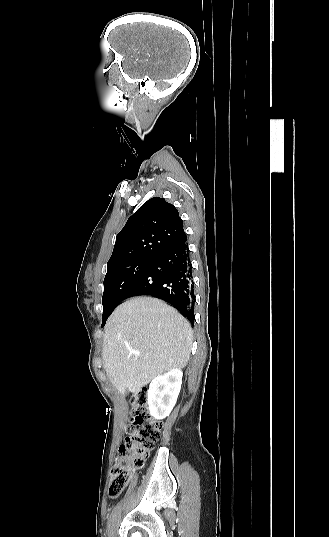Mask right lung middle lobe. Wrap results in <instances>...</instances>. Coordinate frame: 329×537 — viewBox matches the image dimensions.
Wrapping results in <instances>:
<instances>
[{"label": "right lung middle lobe", "instance_id": "obj_1", "mask_svg": "<svg viewBox=\"0 0 329 537\" xmlns=\"http://www.w3.org/2000/svg\"><path fill=\"white\" fill-rule=\"evenodd\" d=\"M153 259H139L127 262L107 271L104 279V293L102 297L103 321L102 326L113 308L123 300L125 293L141 276Z\"/></svg>", "mask_w": 329, "mask_h": 537}]
</instances>
